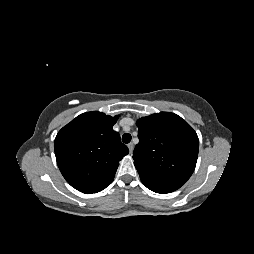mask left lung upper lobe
<instances>
[{
    "mask_svg": "<svg viewBox=\"0 0 254 254\" xmlns=\"http://www.w3.org/2000/svg\"><path fill=\"white\" fill-rule=\"evenodd\" d=\"M139 143L133 152L141 177L182 186L192 175L199 139L180 116L160 112L137 120Z\"/></svg>",
    "mask_w": 254,
    "mask_h": 254,
    "instance_id": "1",
    "label": "left lung upper lobe"
}]
</instances>
